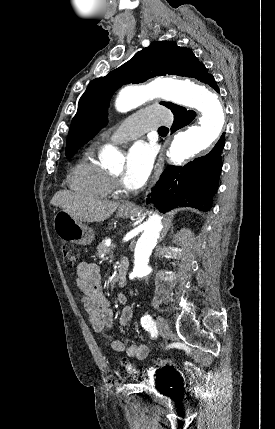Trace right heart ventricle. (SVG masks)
<instances>
[{"label":"right heart ventricle","mask_w":275,"mask_h":429,"mask_svg":"<svg viewBox=\"0 0 275 429\" xmlns=\"http://www.w3.org/2000/svg\"><path fill=\"white\" fill-rule=\"evenodd\" d=\"M68 182L72 190L93 198H106L113 190L111 177L96 159L94 149L71 170Z\"/></svg>","instance_id":"obj_1"}]
</instances>
